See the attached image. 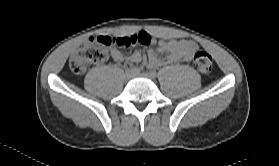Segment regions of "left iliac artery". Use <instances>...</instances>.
<instances>
[{
  "label": "left iliac artery",
  "mask_w": 279,
  "mask_h": 166,
  "mask_svg": "<svg viewBox=\"0 0 279 166\" xmlns=\"http://www.w3.org/2000/svg\"><path fill=\"white\" fill-rule=\"evenodd\" d=\"M150 74H151L152 76H154V77H156V75H157V73H156L155 70L150 71Z\"/></svg>",
  "instance_id": "44dca946"
}]
</instances>
